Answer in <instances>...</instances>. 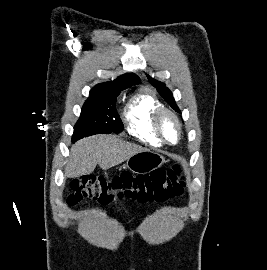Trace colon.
Instances as JSON below:
<instances>
[{"label": "colon", "instance_id": "colon-1", "mask_svg": "<svg viewBox=\"0 0 267 270\" xmlns=\"http://www.w3.org/2000/svg\"><path fill=\"white\" fill-rule=\"evenodd\" d=\"M181 171V166L175 164L147 174L123 172L110 178L83 176L71 183L67 204L75 206L89 199L108 204L123 198L139 203L164 202L183 193L185 183L180 179Z\"/></svg>", "mask_w": 267, "mask_h": 270}]
</instances>
